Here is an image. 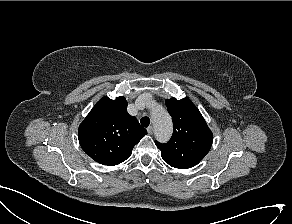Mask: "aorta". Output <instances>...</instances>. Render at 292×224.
I'll return each mask as SVG.
<instances>
[{"label":"aorta","instance_id":"aorta-1","mask_svg":"<svg viewBox=\"0 0 292 224\" xmlns=\"http://www.w3.org/2000/svg\"><path fill=\"white\" fill-rule=\"evenodd\" d=\"M152 123L155 129V137L160 142H167L173 130L172 120L168 112L157 103L151 109Z\"/></svg>","mask_w":292,"mask_h":224}]
</instances>
